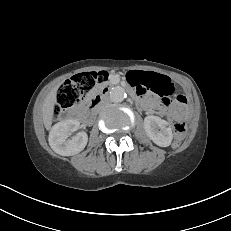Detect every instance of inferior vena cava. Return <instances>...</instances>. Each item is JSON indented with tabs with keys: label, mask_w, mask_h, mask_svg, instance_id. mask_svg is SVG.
Instances as JSON below:
<instances>
[{
	"label": "inferior vena cava",
	"mask_w": 231,
	"mask_h": 231,
	"mask_svg": "<svg viewBox=\"0 0 231 231\" xmlns=\"http://www.w3.org/2000/svg\"><path fill=\"white\" fill-rule=\"evenodd\" d=\"M108 103H109V100L107 98H105L101 103V107L106 106Z\"/></svg>",
	"instance_id": "602c4592"
}]
</instances>
